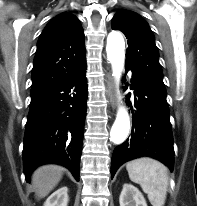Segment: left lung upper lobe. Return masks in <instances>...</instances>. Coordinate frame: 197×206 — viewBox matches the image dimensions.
<instances>
[{
  "label": "left lung upper lobe",
  "mask_w": 197,
  "mask_h": 206,
  "mask_svg": "<svg viewBox=\"0 0 197 206\" xmlns=\"http://www.w3.org/2000/svg\"><path fill=\"white\" fill-rule=\"evenodd\" d=\"M112 29L122 31L128 39L125 68L166 94L158 50L148 23L133 11L120 10L112 19Z\"/></svg>",
  "instance_id": "left-lung-upper-lobe-1"
}]
</instances>
